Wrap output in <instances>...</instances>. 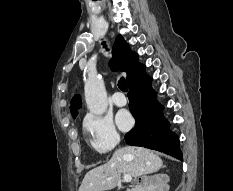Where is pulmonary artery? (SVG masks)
I'll return each instance as SVG.
<instances>
[{
	"instance_id": "e3ab8cb5",
	"label": "pulmonary artery",
	"mask_w": 233,
	"mask_h": 191,
	"mask_svg": "<svg viewBox=\"0 0 233 191\" xmlns=\"http://www.w3.org/2000/svg\"><path fill=\"white\" fill-rule=\"evenodd\" d=\"M112 100H113L114 104L117 106H124L127 103L126 97L124 96L123 93H121L119 91H117L113 94Z\"/></svg>"
}]
</instances>
